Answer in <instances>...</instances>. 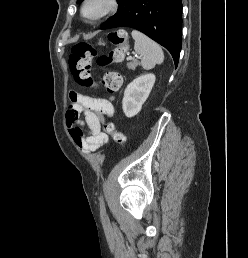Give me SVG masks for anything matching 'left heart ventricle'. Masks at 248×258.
<instances>
[{"instance_id": "left-heart-ventricle-1", "label": "left heart ventricle", "mask_w": 248, "mask_h": 258, "mask_svg": "<svg viewBox=\"0 0 248 258\" xmlns=\"http://www.w3.org/2000/svg\"><path fill=\"white\" fill-rule=\"evenodd\" d=\"M104 7V0H95L88 7V14L94 15Z\"/></svg>"}]
</instances>
